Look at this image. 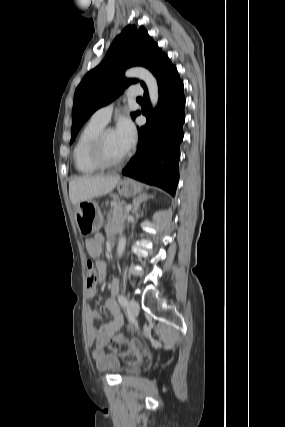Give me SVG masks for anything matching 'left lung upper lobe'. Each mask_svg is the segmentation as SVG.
<instances>
[{"label":"left lung upper lobe","mask_w":285,"mask_h":427,"mask_svg":"<svg viewBox=\"0 0 285 427\" xmlns=\"http://www.w3.org/2000/svg\"><path fill=\"white\" fill-rule=\"evenodd\" d=\"M165 56L144 27H125L114 39L104 60L84 76L76 89L70 143L94 111L110 103L124 87L137 82L136 79L123 77L127 68L140 65L154 74L157 65ZM141 85L144 87V82H141ZM136 113H132L133 119Z\"/></svg>","instance_id":"obj_1"}]
</instances>
